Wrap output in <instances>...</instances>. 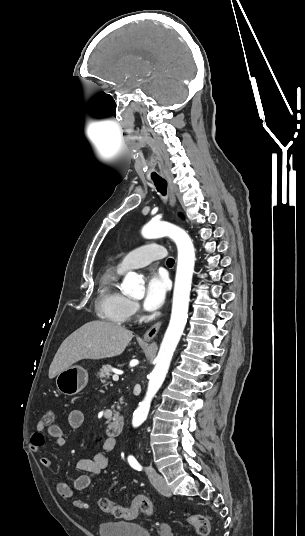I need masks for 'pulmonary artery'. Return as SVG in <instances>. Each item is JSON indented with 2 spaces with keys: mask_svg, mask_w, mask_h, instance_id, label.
<instances>
[{
  "mask_svg": "<svg viewBox=\"0 0 305 536\" xmlns=\"http://www.w3.org/2000/svg\"><path fill=\"white\" fill-rule=\"evenodd\" d=\"M167 248L160 245L158 241L153 240L150 244L143 245L127 253L118 263L117 269L125 272L131 269L144 267L151 262L169 257Z\"/></svg>",
  "mask_w": 305,
  "mask_h": 536,
  "instance_id": "e3ab8cb5",
  "label": "pulmonary artery"
}]
</instances>
